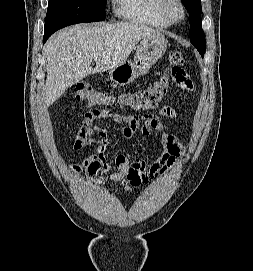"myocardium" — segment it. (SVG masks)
I'll return each mask as SVG.
<instances>
[{
	"instance_id": "1",
	"label": "myocardium",
	"mask_w": 253,
	"mask_h": 271,
	"mask_svg": "<svg viewBox=\"0 0 253 271\" xmlns=\"http://www.w3.org/2000/svg\"><path fill=\"white\" fill-rule=\"evenodd\" d=\"M176 5L180 9V15L175 16L172 13V7ZM160 10L162 15L170 24L181 22L186 16V8L182 0H161Z\"/></svg>"
}]
</instances>
